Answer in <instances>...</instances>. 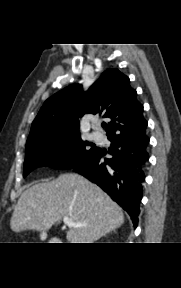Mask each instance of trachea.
<instances>
[{
  "mask_svg": "<svg viewBox=\"0 0 181 288\" xmlns=\"http://www.w3.org/2000/svg\"><path fill=\"white\" fill-rule=\"evenodd\" d=\"M102 126L105 128L107 125L106 124H102Z\"/></svg>",
  "mask_w": 181,
  "mask_h": 288,
  "instance_id": "obj_1",
  "label": "trachea"
}]
</instances>
